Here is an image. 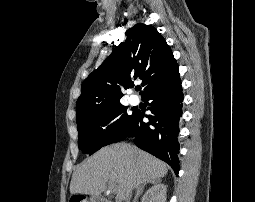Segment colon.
<instances>
[{
  "mask_svg": "<svg viewBox=\"0 0 255 202\" xmlns=\"http://www.w3.org/2000/svg\"><path fill=\"white\" fill-rule=\"evenodd\" d=\"M72 202H83V200L77 199V200H74V201H72Z\"/></svg>",
  "mask_w": 255,
  "mask_h": 202,
  "instance_id": "obj_1",
  "label": "colon"
}]
</instances>
